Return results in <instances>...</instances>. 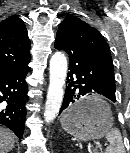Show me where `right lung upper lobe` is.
<instances>
[{"label":"right lung upper lobe","mask_w":130,"mask_h":153,"mask_svg":"<svg viewBox=\"0 0 130 153\" xmlns=\"http://www.w3.org/2000/svg\"><path fill=\"white\" fill-rule=\"evenodd\" d=\"M30 60V40L24 21L17 16L1 21L0 71L24 67Z\"/></svg>","instance_id":"cb5924a9"}]
</instances>
